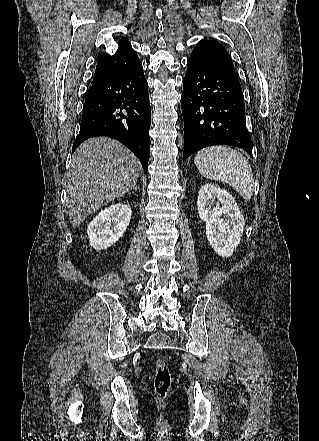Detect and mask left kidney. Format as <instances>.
Returning a JSON list of instances; mask_svg holds the SVG:
<instances>
[{
  "instance_id": "left-kidney-1",
  "label": "left kidney",
  "mask_w": 319,
  "mask_h": 441,
  "mask_svg": "<svg viewBox=\"0 0 319 441\" xmlns=\"http://www.w3.org/2000/svg\"><path fill=\"white\" fill-rule=\"evenodd\" d=\"M197 209L199 217L206 222V237L213 250L223 258L232 256L245 226L235 199L228 192L206 183L199 190Z\"/></svg>"
}]
</instances>
